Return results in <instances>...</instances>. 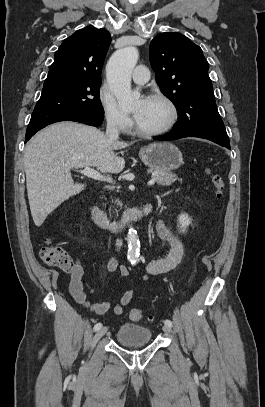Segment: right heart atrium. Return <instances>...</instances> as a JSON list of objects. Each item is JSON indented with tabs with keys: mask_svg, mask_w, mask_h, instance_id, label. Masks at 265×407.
I'll use <instances>...</instances> for the list:
<instances>
[{
	"mask_svg": "<svg viewBox=\"0 0 265 407\" xmlns=\"http://www.w3.org/2000/svg\"><path fill=\"white\" fill-rule=\"evenodd\" d=\"M98 99L107 124L120 132L127 131L131 126V120L120 109L114 97L105 87L99 89Z\"/></svg>",
	"mask_w": 265,
	"mask_h": 407,
	"instance_id": "d8ad5b80",
	"label": "right heart atrium"
}]
</instances>
